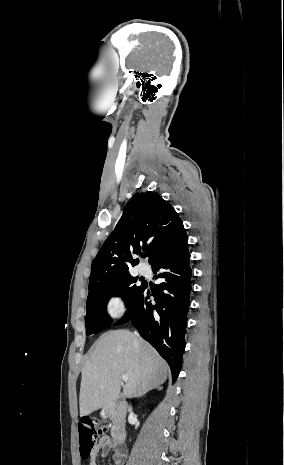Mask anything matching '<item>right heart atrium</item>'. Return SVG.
I'll use <instances>...</instances> for the list:
<instances>
[{
  "label": "right heart atrium",
  "mask_w": 284,
  "mask_h": 465,
  "mask_svg": "<svg viewBox=\"0 0 284 465\" xmlns=\"http://www.w3.org/2000/svg\"><path fill=\"white\" fill-rule=\"evenodd\" d=\"M128 310V301L122 293H113L109 295L104 302V311L106 315L112 319L124 317Z\"/></svg>",
  "instance_id": "d8ad5b80"
}]
</instances>
